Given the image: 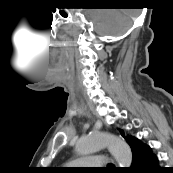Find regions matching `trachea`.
Here are the masks:
<instances>
[{
    "label": "trachea",
    "instance_id": "obj_1",
    "mask_svg": "<svg viewBox=\"0 0 173 173\" xmlns=\"http://www.w3.org/2000/svg\"><path fill=\"white\" fill-rule=\"evenodd\" d=\"M111 167H113V165H112V164H109V165H108V168H111Z\"/></svg>",
    "mask_w": 173,
    "mask_h": 173
}]
</instances>
